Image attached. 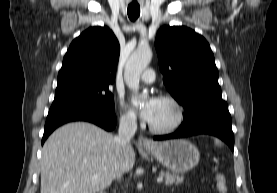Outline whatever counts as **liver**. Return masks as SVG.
I'll use <instances>...</instances> for the list:
<instances>
[{
  "label": "liver",
  "instance_id": "obj_1",
  "mask_svg": "<svg viewBox=\"0 0 277 193\" xmlns=\"http://www.w3.org/2000/svg\"><path fill=\"white\" fill-rule=\"evenodd\" d=\"M134 163L131 145L123 151L103 129L87 122L69 123L53 132L43 146L41 193H97Z\"/></svg>",
  "mask_w": 277,
  "mask_h": 193
}]
</instances>
